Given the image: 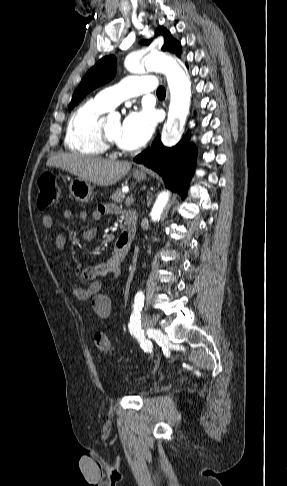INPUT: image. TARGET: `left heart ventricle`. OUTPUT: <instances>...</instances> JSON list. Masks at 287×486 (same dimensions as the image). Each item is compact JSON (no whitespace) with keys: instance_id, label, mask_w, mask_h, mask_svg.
<instances>
[{"instance_id":"1","label":"left heart ventricle","mask_w":287,"mask_h":486,"mask_svg":"<svg viewBox=\"0 0 287 486\" xmlns=\"http://www.w3.org/2000/svg\"><path fill=\"white\" fill-rule=\"evenodd\" d=\"M121 122L114 121L105 126V130L109 137L114 140L116 143L120 144V136H121Z\"/></svg>"}]
</instances>
